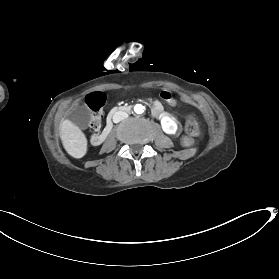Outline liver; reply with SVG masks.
<instances>
[{"instance_id":"liver-1","label":"liver","mask_w":279,"mask_h":279,"mask_svg":"<svg viewBox=\"0 0 279 279\" xmlns=\"http://www.w3.org/2000/svg\"><path fill=\"white\" fill-rule=\"evenodd\" d=\"M60 138L63 147L74 158H82L87 151V139L78 126L70 120L62 121L60 125Z\"/></svg>"}]
</instances>
